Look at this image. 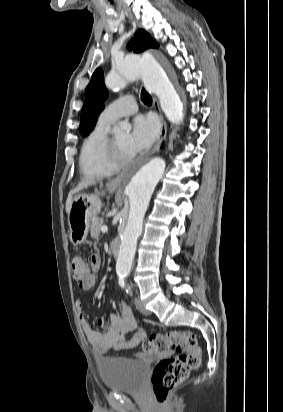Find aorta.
Segmentation results:
<instances>
[{
    "instance_id": "762f6f07",
    "label": "aorta",
    "mask_w": 283,
    "mask_h": 412,
    "mask_svg": "<svg viewBox=\"0 0 283 412\" xmlns=\"http://www.w3.org/2000/svg\"><path fill=\"white\" fill-rule=\"evenodd\" d=\"M136 79H142L146 88L156 94L162 111L172 123L182 120L183 105L180 97L163 65L151 53L126 57L116 71L106 77L105 85L109 89H119ZM129 127L127 123H121L114 133H120ZM164 171L165 161L157 157L129 172L124 178L123 188L129 199V214L120 236L121 245L116 263L118 276H126L131 271L143 219Z\"/></svg>"
}]
</instances>
